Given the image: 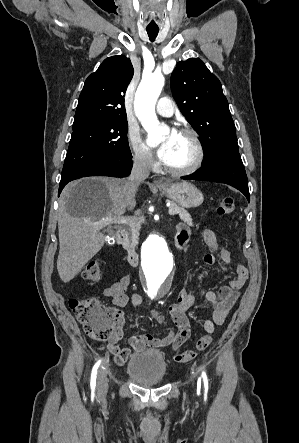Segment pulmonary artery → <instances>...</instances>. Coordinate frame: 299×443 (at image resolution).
<instances>
[{"instance_id": "obj_1", "label": "pulmonary artery", "mask_w": 299, "mask_h": 443, "mask_svg": "<svg viewBox=\"0 0 299 443\" xmlns=\"http://www.w3.org/2000/svg\"><path fill=\"white\" fill-rule=\"evenodd\" d=\"M156 111L162 116H172L175 111V104L169 97H161L157 103Z\"/></svg>"}]
</instances>
